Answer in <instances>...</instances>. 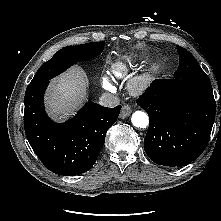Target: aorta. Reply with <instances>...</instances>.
Instances as JSON below:
<instances>
[{
	"label": "aorta",
	"instance_id": "762f6f07",
	"mask_svg": "<svg viewBox=\"0 0 221 221\" xmlns=\"http://www.w3.org/2000/svg\"><path fill=\"white\" fill-rule=\"evenodd\" d=\"M131 122L137 128H146L149 124V117L143 111H135L132 114Z\"/></svg>",
	"mask_w": 221,
	"mask_h": 221
}]
</instances>
